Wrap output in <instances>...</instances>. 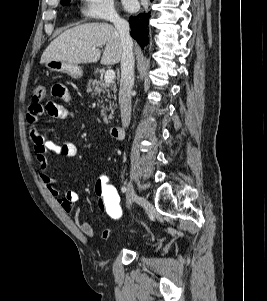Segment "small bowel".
Masks as SVG:
<instances>
[{
	"mask_svg": "<svg viewBox=\"0 0 267 301\" xmlns=\"http://www.w3.org/2000/svg\"><path fill=\"white\" fill-rule=\"evenodd\" d=\"M52 100H50L45 106L39 102H33L27 112V123L30 127V138L33 143V148L36 153V161L39 166V175L46 186L47 190L54 197L58 198L59 204L67 214H73V221L78 229L87 237L99 238L106 240L112 234V229H105L100 233L96 234L92 225L83 217L80 210H75V204L79 200V195L73 190H66L62 197H60V191L54 184L51 176L47 170V155L53 153L56 155H62L66 158H73L77 154L76 146L71 142H66L62 145L47 139L43 136L39 129L38 124L41 116L46 113L49 117L55 119H66L73 116L65 105L61 104L60 101L70 103L71 95L68 88L61 83L53 85L51 89ZM99 209L101 210L99 204Z\"/></svg>",
	"mask_w": 267,
	"mask_h": 301,
	"instance_id": "1",
	"label": "small bowel"
}]
</instances>
